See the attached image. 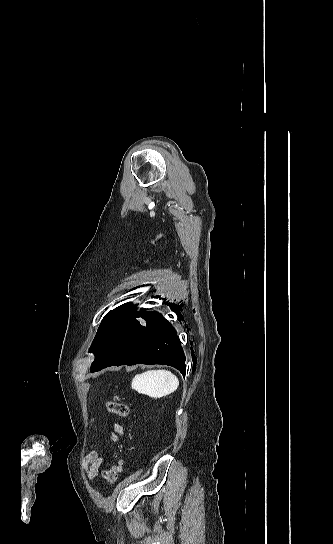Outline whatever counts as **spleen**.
I'll return each mask as SVG.
<instances>
[{"label": "spleen", "mask_w": 333, "mask_h": 544, "mask_svg": "<svg viewBox=\"0 0 333 544\" xmlns=\"http://www.w3.org/2000/svg\"><path fill=\"white\" fill-rule=\"evenodd\" d=\"M178 378L167 370H149L136 375L131 383L132 389L151 398H162L176 391Z\"/></svg>", "instance_id": "obj_1"}]
</instances>
